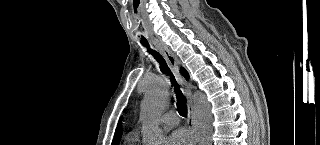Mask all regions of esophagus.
<instances>
[{"label":"esophagus","mask_w":320,"mask_h":145,"mask_svg":"<svg viewBox=\"0 0 320 145\" xmlns=\"http://www.w3.org/2000/svg\"><path fill=\"white\" fill-rule=\"evenodd\" d=\"M153 44L156 46V48L163 54L165 59L167 60L170 68L175 73V75L180 80V83L183 87V90L185 92V95L187 97V108H188V118H187V125L189 132L194 137V108H193V100H192V93L190 90L189 83L184 79V77L179 72V60L175 56L174 53L170 51L168 47H166L163 43H161L159 40L153 38L152 39Z\"/></svg>","instance_id":"obj_1"}]
</instances>
